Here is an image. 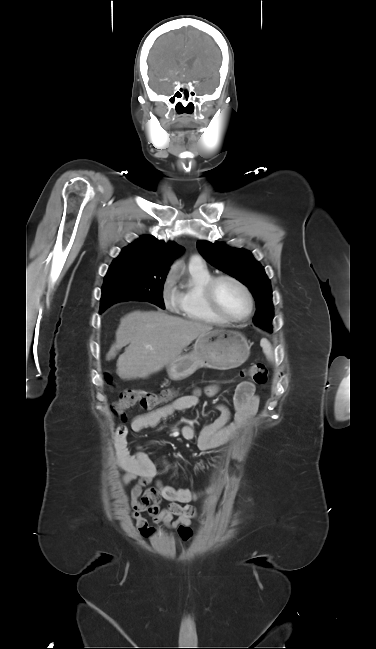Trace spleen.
<instances>
[{
    "instance_id": "obj_1",
    "label": "spleen",
    "mask_w": 376,
    "mask_h": 649,
    "mask_svg": "<svg viewBox=\"0 0 376 649\" xmlns=\"http://www.w3.org/2000/svg\"><path fill=\"white\" fill-rule=\"evenodd\" d=\"M260 345L266 357L271 360L273 358V351L270 342L267 339H262Z\"/></svg>"
}]
</instances>
